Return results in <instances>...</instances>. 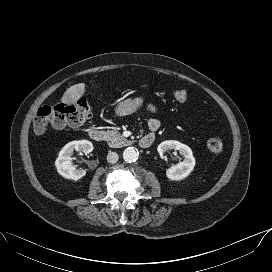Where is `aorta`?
Here are the masks:
<instances>
[{
	"mask_svg": "<svg viewBox=\"0 0 272 272\" xmlns=\"http://www.w3.org/2000/svg\"><path fill=\"white\" fill-rule=\"evenodd\" d=\"M139 158V152L134 147H128L123 151V159L126 162H135Z\"/></svg>",
	"mask_w": 272,
	"mask_h": 272,
	"instance_id": "762f6f07",
	"label": "aorta"
}]
</instances>
